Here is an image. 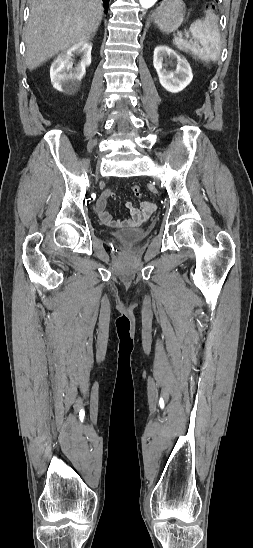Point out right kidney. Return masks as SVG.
<instances>
[{
	"label": "right kidney",
	"instance_id": "obj_1",
	"mask_svg": "<svg viewBox=\"0 0 253 548\" xmlns=\"http://www.w3.org/2000/svg\"><path fill=\"white\" fill-rule=\"evenodd\" d=\"M91 50V43L80 42L57 56L50 68V78L55 89L71 94L78 88L86 67L91 64ZM75 55H80L81 61L73 68Z\"/></svg>",
	"mask_w": 253,
	"mask_h": 548
}]
</instances>
